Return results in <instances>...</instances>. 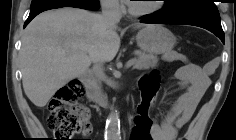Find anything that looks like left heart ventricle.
<instances>
[{
  "label": "left heart ventricle",
  "mask_w": 236,
  "mask_h": 140,
  "mask_svg": "<svg viewBox=\"0 0 236 140\" xmlns=\"http://www.w3.org/2000/svg\"><path fill=\"white\" fill-rule=\"evenodd\" d=\"M155 1H135L134 3H132V5L137 8V9H146V8H150L153 5H155V3H153Z\"/></svg>",
  "instance_id": "b2bd125f"
}]
</instances>
